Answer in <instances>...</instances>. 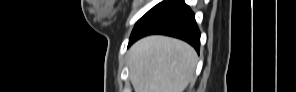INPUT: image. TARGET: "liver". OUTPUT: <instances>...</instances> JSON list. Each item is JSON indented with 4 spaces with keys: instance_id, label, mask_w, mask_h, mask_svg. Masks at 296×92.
Returning a JSON list of instances; mask_svg holds the SVG:
<instances>
[{
    "instance_id": "obj_1",
    "label": "liver",
    "mask_w": 296,
    "mask_h": 92,
    "mask_svg": "<svg viewBox=\"0 0 296 92\" xmlns=\"http://www.w3.org/2000/svg\"><path fill=\"white\" fill-rule=\"evenodd\" d=\"M128 57L134 92H183L194 78L198 61L189 44L161 35L140 39Z\"/></svg>"
}]
</instances>
